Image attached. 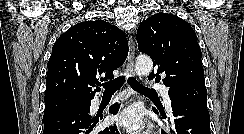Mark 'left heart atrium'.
Returning a JSON list of instances; mask_svg holds the SVG:
<instances>
[{
    "instance_id": "obj_1",
    "label": "left heart atrium",
    "mask_w": 244,
    "mask_h": 134,
    "mask_svg": "<svg viewBox=\"0 0 244 134\" xmlns=\"http://www.w3.org/2000/svg\"><path fill=\"white\" fill-rule=\"evenodd\" d=\"M116 122L131 134H142L145 129L143 112L137 106L128 107L120 112Z\"/></svg>"
}]
</instances>
